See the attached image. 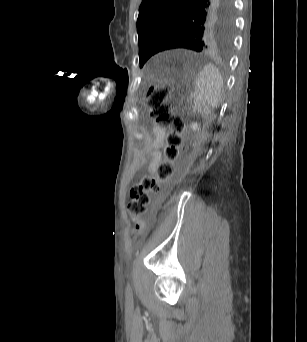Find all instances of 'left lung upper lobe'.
I'll list each match as a JSON object with an SVG mask.
<instances>
[{
	"label": "left lung upper lobe",
	"mask_w": 307,
	"mask_h": 342,
	"mask_svg": "<svg viewBox=\"0 0 307 342\" xmlns=\"http://www.w3.org/2000/svg\"><path fill=\"white\" fill-rule=\"evenodd\" d=\"M233 29L231 0H143L137 20L140 67L174 48L227 53Z\"/></svg>",
	"instance_id": "left-lung-upper-lobe-1"
}]
</instances>
